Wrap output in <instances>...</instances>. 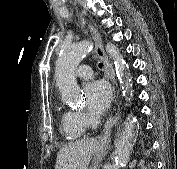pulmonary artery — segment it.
Segmentation results:
<instances>
[{
    "label": "pulmonary artery",
    "mask_w": 177,
    "mask_h": 169,
    "mask_svg": "<svg viewBox=\"0 0 177 169\" xmlns=\"http://www.w3.org/2000/svg\"><path fill=\"white\" fill-rule=\"evenodd\" d=\"M92 69L87 65L80 66L76 71V76L80 80H87L92 76Z\"/></svg>",
    "instance_id": "e3ab8cb5"
}]
</instances>
